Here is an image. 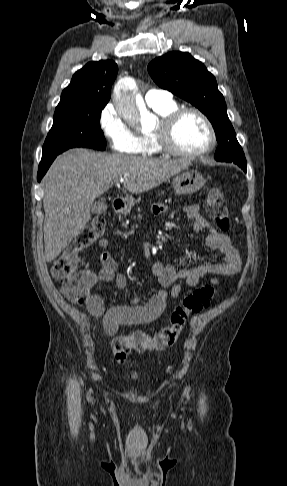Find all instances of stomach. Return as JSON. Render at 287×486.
<instances>
[{
	"label": "stomach",
	"mask_w": 287,
	"mask_h": 486,
	"mask_svg": "<svg viewBox=\"0 0 287 486\" xmlns=\"http://www.w3.org/2000/svg\"><path fill=\"white\" fill-rule=\"evenodd\" d=\"M206 181L203 176L194 170H186L178 174L172 181L174 190L181 195L193 194L204 187ZM134 206L132 200L124 202V213H129Z\"/></svg>",
	"instance_id": "stomach-1"
}]
</instances>
